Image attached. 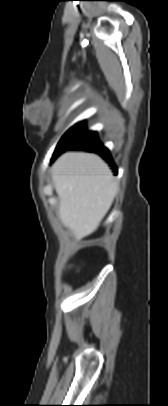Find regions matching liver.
Instances as JSON below:
<instances>
[{
  "mask_svg": "<svg viewBox=\"0 0 168 406\" xmlns=\"http://www.w3.org/2000/svg\"><path fill=\"white\" fill-rule=\"evenodd\" d=\"M52 180L62 224L77 241L92 234L118 192L108 165L95 154L66 152L54 163Z\"/></svg>",
  "mask_w": 168,
  "mask_h": 406,
  "instance_id": "liver-1",
  "label": "liver"
}]
</instances>
